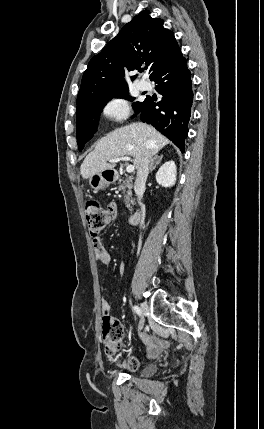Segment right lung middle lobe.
<instances>
[{"label": "right lung middle lobe", "mask_w": 264, "mask_h": 429, "mask_svg": "<svg viewBox=\"0 0 264 429\" xmlns=\"http://www.w3.org/2000/svg\"><path fill=\"white\" fill-rule=\"evenodd\" d=\"M113 97L125 98L133 100L134 98L128 96V89H124L109 95L102 96L96 100L80 105L76 109V123H77V143L79 151L84 147V144L89 141L97 128L100 113L105 104ZM148 97L143 102H136L133 107L136 112H140L145 105Z\"/></svg>", "instance_id": "dd1d6c3e"}]
</instances>
